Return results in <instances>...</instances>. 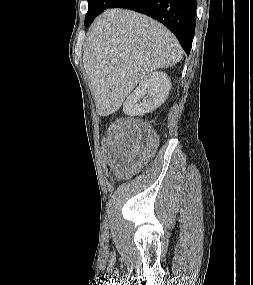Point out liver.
I'll list each match as a JSON object with an SVG mask.
<instances>
[{"mask_svg":"<svg viewBox=\"0 0 253 285\" xmlns=\"http://www.w3.org/2000/svg\"><path fill=\"white\" fill-rule=\"evenodd\" d=\"M175 36L154 19L125 9H108L88 31L83 64L100 116L116 112L149 73L182 58Z\"/></svg>","mask_w":253,"mask_h":285,"instance_id":"liver-1","label":"liver"}]
</instances>
